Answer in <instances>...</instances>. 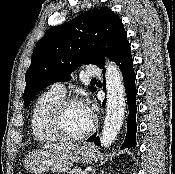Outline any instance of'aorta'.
I'll list each match as a JSON object with an SVG mask.
<instances>
[{"instance_id": "1", "label": "aorta", "mask_w": 175, "mask_h": 174, "mask_svg": "<svg viewBox=\"0 0 175 174\" xmlns=\"http://www.w3.org/2000/svg\"><path fill=\"white\" fill-rule=\"evenodd\" d=\"M125 91L119 68L106 63V116L101 134V145L109 147L116 139L125 116Z\"/></svg>"}]
</instances>
